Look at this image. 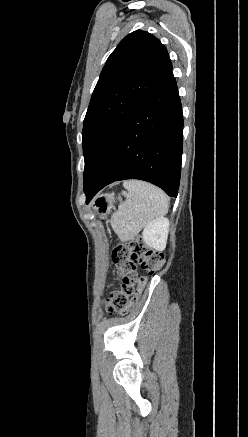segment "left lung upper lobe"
Listing matches in <instances>:
<instances>
[{"mask_svg":"<svg viewBox=\"0 0 248 437\" xmlns=\"http://www.w3.org/2000/svg\"><path fill=\"white\" fill-rule=\"evenodd\" d=\"M171 71L165 46L141 30L127 35L108 57L83 123L84 191L123 125Z\"/></svg>","mask_w":248,"mask_h":437,"instance_id":"5c2ea615","label":"left lung upper lobe"}]
</instances>
